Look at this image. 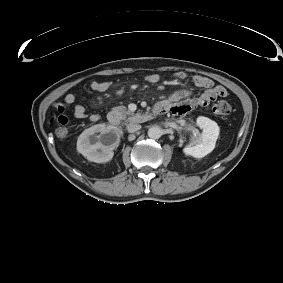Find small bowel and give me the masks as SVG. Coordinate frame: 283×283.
I'll list each match as a JSON object with an SVG mask.
<instances>
[{
    "label": "small bowel",
    "instance_id": "obj_1",
    "mask_svg": "<svg viewBox=\"0 0 283 283\" xmlns=\"http://www.w3.org/2000/svg\"><path fill=\"white\" fill-rule=\"evenodd\" d=\"M187 75L184 72H178L175 75L176 82H181L186 79ZM147 81L152 84H158L160 82V76L156 73H151L146 77ZM193 84L203 91L194 95L190 90H181L173 93L166 99H164L160 104L164 108H169L172 114L177 116H182L191 111L194 107H206L212 101L217 98H222L227 95V91L224 87L219 85H214V82L203 75H195L192 77ZM112 85L110 81H93L91 83L92 90L96 92L107 91ZM73 105V115L77 119L89 118L91 121L95 122L100 119L99 114L88 115L86 108L82 104L76 103V96L73 93H69L64 97L63 102H58L54 104L55 109L60 113L58 119L62 121L67 119L64 112L67 107Z\"/></svg>",
    "mask_w": 283,
    "mask_h": 283
}]
</instances>
